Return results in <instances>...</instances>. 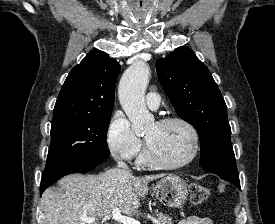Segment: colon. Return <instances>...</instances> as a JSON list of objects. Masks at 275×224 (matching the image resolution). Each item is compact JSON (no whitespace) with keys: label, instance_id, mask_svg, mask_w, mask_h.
Segmentation results:
<instances>
[{"label":"colon","instance_id":"1","mask_svg":"<svg viewBox=\"0 0 275 224\" xmlns=\"http://www.w3.org/2000/svg\"><path fill=\"white\" fill-rule=\"evenodd\" d=\"M190 199L194 204H200L206 201L210 196V190L207 186L193 182L189 185Z\"/></svg>","mask_w":275,"mask_h":224}]
</instances>
